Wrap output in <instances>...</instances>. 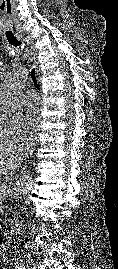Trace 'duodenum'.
<instances>
[{
	"instance_id": "obj_1",
	"label": "duodenum",
	"mask_w": 118,
	"mask_h": 269,
	"mask_svg": "<svg viewBox=\"0 0 118 269\" xmlns=\"http://www.w3.org/2000/svg\"><path fill=\"white\" fill-rule=\"evenodd\" d=\"M23 228V223L20 220H15L8 225V232L12 235L19 233Z\"/></svg>"
}]
</instances>
